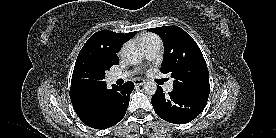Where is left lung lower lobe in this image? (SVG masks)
Masks as SVG:
<instances>
[{
	"mask_svg": "<svg viewBox=\"0 0 276 138\" xmlns=\"http://www.w3.org/2000/svg\"><path fill=\"white\" fill-rule=\"evenodd\" d=\"M207 101L208 99L175 90L165 95L160 86L151 99L156 114L174 124H185L195 119L203 111Z\"/></svg>",
	"mask_w": 276,
	"mask_h": 138,
	"instance_id": "0a47b994",
	"label": "left lung lower lobe"
}]
</instances>
